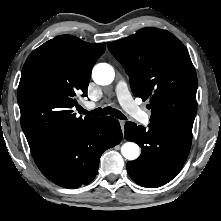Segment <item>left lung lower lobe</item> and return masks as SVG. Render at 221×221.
<instances>
[{
	"mask_svg": "<svg viewBox=\"0 0 221 221\" xmlns=\"http://www.w3.org/2000/svg\"><path fill=\"white\" fill-rule=\"evenodd\" d=\"M148 127L132 122L125 124V138L142 149L138 159L127 163V171L135 183L155 188L168 183L180 172L192 138L170 133L151 123Z\"/></svg>",
	"mask_w": 221,
	"mask_h": 221,
	"instance_id": "0a47b994",
	"label": "left lung lower lobe"
}]
</instances>
